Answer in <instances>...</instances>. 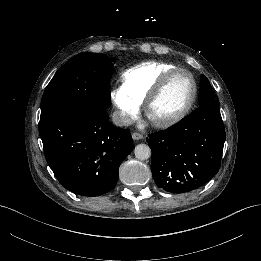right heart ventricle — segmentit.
I'll return each mask as SVG.
<instances>
[{"label":"right heart ventricle","instance_id":"obj_1","mask_svg":"<svg viewBox=\"0 0 261 261\" xmlns=\"http://www.w3.org/2000/svg\"><path fill=\"white\" fill-rule=\"evenodd\" d=\"M174 68V65L161 61L139 63L122 73V88L141 104L163 75Z\"/></svg>","mask_w":261,"mask_h":261}]
</instances>
